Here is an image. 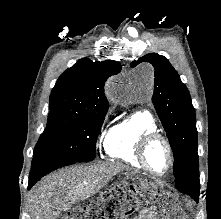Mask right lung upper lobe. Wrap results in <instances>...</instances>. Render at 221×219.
I'll return each mask as SVG.
<instances>
[{"label":"right lung upper lobe","mask_w":221,"mask_h":219,"mask_svg":"<svg viewBox=\"0 0 221 219\" xmlns=\"http://www.w3.org/2000/svg\"><path fill=\"white\" fill-rule=\"evenodd\" d=\"M121 70L116 61L79 60L57 80L50 95V109L60 108L83 113L108 110L104 95L106 79Z\"/></svg>","instance_id":"obj_1"}]
</instances>
